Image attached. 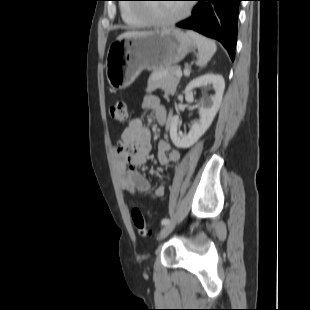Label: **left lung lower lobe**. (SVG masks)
<instances>
[{"mask_svg": "<svg viewBox=\"0 0 310 310\" xmlns=\"http://www.w3.org/2000/svg\"><path fill=\"white\" fill-rule=\"evenodd\" d=\"M192 16L177 23L221 42L232 60L237 43V19L242 0H195Z\"/></svg>", "mask_w": 310, "mask_h": 310, "instance_id": "0a47b994", "label": "left lung lower lobe"}]
</instances>
